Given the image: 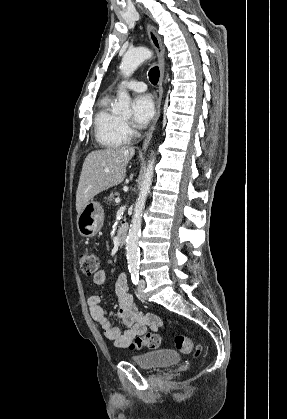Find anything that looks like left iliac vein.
<instances>
[{
  "instance_id": "obj_1",
  "label": "left iliac vein",
  "mask_w": 287,
  "mask_h": 419,
  "mask_svg": "<svg viewBox=\"0 0 287 419\" xmlns=\"http://www.w3.org/2000/svg\"><path fill=\"white\" fill-rule=\"evenodd\" d=\"M144 288H145V281L140 280L138 282L137 291H138L139 297L142 298V299H146V294H145Z\"/></svg>"
}]
</instances>
